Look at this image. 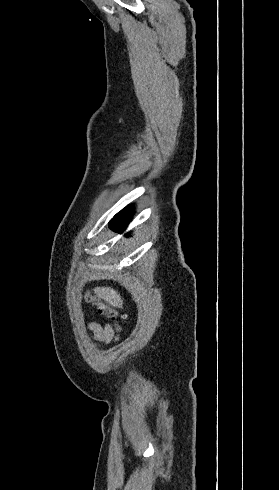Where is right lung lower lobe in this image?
Segmentation results:
<instances>
[{
    "mask_svg": "<svg viewBox=\"0 0 279 490\" xmlns=\"http://www.w3.org/2000/svg\"><path fill=\"white\" fill-rule=\"evenodd\" d=\"M133 213V206H127L120 211L114 219L109 223V227L114 231H123L131 221V214Z\"/></svg>",
    "mask_w": 279,
    "mask_h": 490,
    "instance_id": "right-lung-lower-lobe-1",
    "label": "right lung lower lobe"
}]
</instances>
